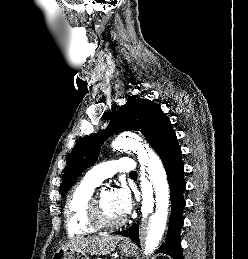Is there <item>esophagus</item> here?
<instances>
[{
  "mask_svg": "<svg viewBox=\"0 0 248 259\" xmlns=\"http://www.w3.org/2000/svg\"><path fill=\"white\" fill-rule=\"evenodd\" d=\"M125 243H127V244H128V243H129V241H125Z\"/></svg>",
  "mask_w": 248,
  "mask_h": 259,
  "instance_id": "obj_1",
  "label": "esophagus"
}]
</instances>
